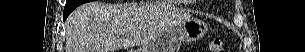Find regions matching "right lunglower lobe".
<instances>
[{
  "label": "right lung lower lobe",
  "mask_w": 305,
  "mask_h": 52,
  "mask_svg": "<svg viewBox=\"0 0 305 52\" xmlns=\"http://www.w3.org/2000/svg\"><path fill=\"white\" fill-rule=\"evenodd\" d=\"M73 10H74V8H70V7L65 6L64 12H63L64 20L69 16V14H70Z\"/></svg>",
  "instance_id": "obj_1"
}]
</instances>
